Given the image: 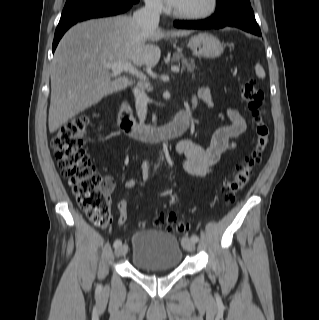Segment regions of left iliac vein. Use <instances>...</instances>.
I'll list each match as a JSON object with an SVG mask.
<instances>
[{
  "instance_id": "obj_1",
  "label": "left iliac vein",
  "mask_w": 319,
  "mask_h": 320,
  "mask_svg": "<svg viewBox=\"0 0 319 320\" xmlns=\"http://www.w3.org/2000/svg\"><path fill=\"white\" fill-rule=\"evenodd\" d=\"M182 245L189 252H193L195 250V242L189 238H184L182 240Z\"/></svg>"
}]
</instances>
